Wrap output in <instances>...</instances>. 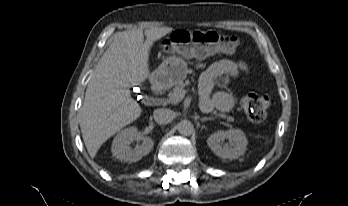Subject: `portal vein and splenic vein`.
<instances>
[{
  "label": "portal vein and splenic vein",
  "instance_id": "portal-vein-and-splenic-vein-1",
  "mask_svg": "<svg viewBox=\"0 0 348 206\" xmlns=\"http://www.w3.org/2000/svg\"><path fill=\"white\" fill-rule=\"evenodd\" d=\"M186 94V90L180 91V92H173L171 95H169V98H167V102L169 103H179L181 100H183L184 96Z\"/></svg>",
  "mask_w": 348,
  "mask_h": 206
}]
</instances>
